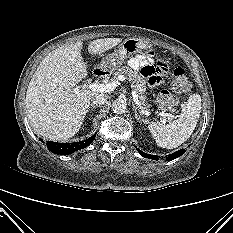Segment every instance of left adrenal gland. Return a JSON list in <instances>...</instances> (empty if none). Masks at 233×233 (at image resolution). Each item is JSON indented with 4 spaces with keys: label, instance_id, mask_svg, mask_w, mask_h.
<instances>
[{
    "label": "left adrenal gland",
    "instance_id": "obj_1",
    "mask_svg": "<svg viewBox=\"0 0 233 233\" xmlns=\"http://www.w3.org/2000/svg\"><path fill=\"white\" fill-rule=\"evenodd\" d=\"M132 107H133V111H134V113H135V119H137V120H140V121H143L144 122V120L143 119H141V117H140V115H138V113H137V107L135 106V104L132 102Z\"/></svg>",
    "mask_w": 233,
    "mask_h": 233
}]
</instances>
